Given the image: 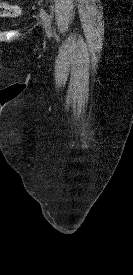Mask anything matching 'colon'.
<instances>
[{"mask_svg":"<svg viewBox=\"0 0 133 275\" xmlns=\"http://www.w3.org/2000/svg\"><path fill=\"white\" fill-rule=\"evenodd\" d=\"M20 13L21 9L17 5H11L4 2H0V16L13 17L18 16Z\"/></svg>","mask_w":133,"mask_h":275,"instance_id":"colon-1","label":"colon"}]
</instances>
